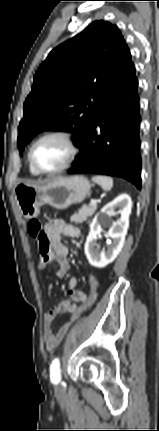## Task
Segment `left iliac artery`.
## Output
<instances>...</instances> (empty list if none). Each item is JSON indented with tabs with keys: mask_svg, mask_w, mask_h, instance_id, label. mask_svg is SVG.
I'll use <instances>...</instances> for the list:
<instances>
[{
	"mask_svg": "<svg viewBox=\"0 0 159 431\" xmlns=\"http://www.w3.org/2000/svg\"><path fill=\"white\" fill-rule=\"evenodd\" d=\"M50 378L54 384L60 381V361L55 358L50 365Z\"/></svg>",
	"mask_w": 159,
	"mask_h": 431,
	"instance_id": "44dca946",
	"label": "left iliac artery"
}]
</instances>
